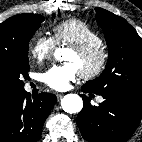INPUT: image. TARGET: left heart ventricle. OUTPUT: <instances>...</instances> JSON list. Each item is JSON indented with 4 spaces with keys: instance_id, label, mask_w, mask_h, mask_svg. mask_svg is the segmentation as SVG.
Instances as JSON below:
<instances>
[{
    "instance_id": "1",
    "label": "left heart ventricle",
    "mask_w": 142,
    "mask_h": 142,
    "mask_svg": "<svg viewBox=\"0 0 142 142\" xmlns=\"http://www.w3.org/2000/svg\"><path fill=\"white\" fill-rule=\"evenodd\" d=\"M65 60L69 63L75 64L79 69V71L91 68L96 62L95 58H89V59L81 58L74 50H70L66 54Z\"/></svg>"
}]
</instances>
